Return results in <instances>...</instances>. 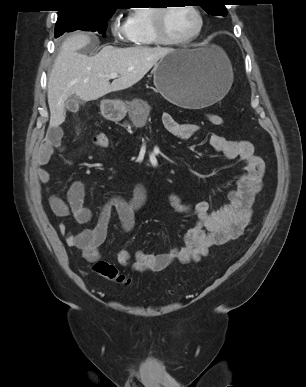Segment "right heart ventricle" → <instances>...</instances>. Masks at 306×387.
I'll return each mask as SVG.
<instances>
[{
    "label": "right heart ventricle",
    "mask_w": 306,
    "mask_h": 387,
    "mask_svg": "<svg viewBox=\"0 0 306 387\" xmlns=\"http://www.w3.org/2000/svg\"><path fill=\"white\" fill-rule=\"evenodd\" d=\"M153 8H138L133 10L127 20L128 40L134 46L150 47L158 43L152 32L151 14Z\"/></svg>",
    "instance_id": "obj_1"
}]
</instances>
